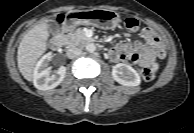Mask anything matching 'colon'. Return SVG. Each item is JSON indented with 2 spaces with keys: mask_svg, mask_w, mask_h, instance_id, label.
Masks as SVG:
<instances>
[{
  "mask_svg": "<svg viewBox=\"0 0 194 133\" xmlns=\"http://www.w3.org/2000/svg\"><path fill=\"white\" fill-rule=\"evenodd\" d=\"M124 26L126 27V29L134 32V31H137L139 29V22L134 18H127L124 21ZM141 75L145 81H150L155 76V70L150 69V68H144L141 71Z\"/></svg>",
  "mask_w": 194,
  "mask_h": 133,
  "instance_id": "1",
  "label": "colon"
}]
</instances>
